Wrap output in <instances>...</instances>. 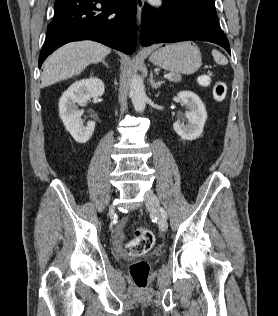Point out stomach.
<instances>
[{
	"instance_id": "0dacf381",
	"label": "stomach",
	"mask_w": 278,
	"mask_h": 316,
	"mask_svg": "<svg viewBox=\"0 0 278 316\" xmlns=\"http://www.w3.org/2000/svg\"><path fill=\"white\" fill-rule=\"evenodd\" d=\"M156 66L178 74H193L202 64L200 50L191 42L166 45L150 54Z\"/></svg>"
}]
</instances>
